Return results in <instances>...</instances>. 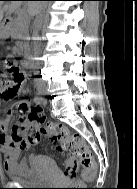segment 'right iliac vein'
<instances>
[{
    "label": "right iliac vein",
    "instance_id": "right-iliac-vein-1",
    "mask_svg": "<svg viewBox=\"0 0 137 189\" xmlns=\"http://www.w3.org/2000/svg\"><path fill=\"white\" fill-rule=\"evenodd\" d=\"M41 93H42V94L46 93V90H42Z\"/></svg>",
    "mask_w": 137,
    "mask_h": 189
}]
</instances>
